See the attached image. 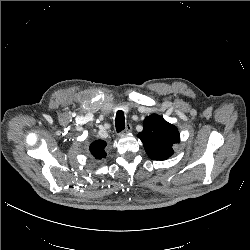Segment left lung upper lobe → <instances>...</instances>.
I'll list each match as a JSON object with an SVG mask.
<instances>
[{
	"instance_id": "left-lung-upper-lobe-1",
	"label": "left lung upper lobe",
	"mask_w": 250,
	"mask_h": 250,
	"mask_svg": "<svg viewBox=\"0 0 250 250\" xmlns=\"http://www.w3.org/2000/svg\"><path fill=\"white\" fill-rule=\"evenodd\" d=\"M138 137L153 160H166L174 153V145L180 142L178 129L157 114L145 118L143 131Z\"/></svg>"
}]
</instances>
